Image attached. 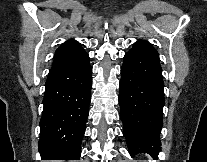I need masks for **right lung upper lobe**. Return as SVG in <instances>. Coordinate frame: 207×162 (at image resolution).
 Segmentation results:
<instances>
[{
  "label": "right lung upper lobe",
  "mask_w": 207,
  "mask_h": 162,
  "mask_svg": "<svg viewBox=\"0 0 207 162\" xmlns=\"http://www.w3.org/2000/svg\"><path fill=\"white\" fill-rule=\"evenodd\" d=\"M85 54L86 52L80 43L75 40H69L56 50L52 67L72 62Z\"/></svg>",
  "instance_id": "cb5924a9"
}]
</instances>
